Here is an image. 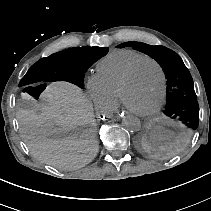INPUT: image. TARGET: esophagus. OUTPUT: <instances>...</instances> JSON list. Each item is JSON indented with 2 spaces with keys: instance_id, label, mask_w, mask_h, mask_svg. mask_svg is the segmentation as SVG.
Returning <instances> with one entry per match:
<instances>
[{
  "instance_id": "34e87169",
  "label": "esophagus",
  "mask_w": 211,
  "mask_h": 211,
  "mask_svg": "<svg viewBox=\"0 0 211 211\" xmlns=\"http://www.w3.org/2000/svg\"><path fill=\"white\" fill-rule=\"evenodd\" d=\"M127 116V113L125 112V111H123V110H120V111H118L116 114H115V117L117 118V119H123V118H125Z\"/></svg>"
}]
</instances>
